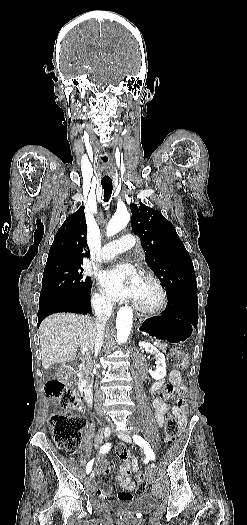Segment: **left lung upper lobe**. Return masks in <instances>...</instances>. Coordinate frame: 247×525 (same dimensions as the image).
I'll use <instances>...</instances> for the list:
<instances>
[{
    "label": "left lung upper lobe",
    "instance_id": "5c2ea615",
    "mask_svg": "<svg viewBox=\"0 0 247 525\" xmlns=\"http://www.w3.org/2000/svg\"><path fill=\"white\" fill-rule=\"evenodd\" d=\"M131 225L145 251V261L168 296L197 293L193 263L175 227L161 212L143 203L130 205Z\"/></svg>",
    "mask_w": 247,
    "mask_h": 525
}]
</instances>
